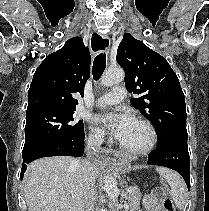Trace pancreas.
Segmentation results:
<instances>
[{
    "label": "pancreas",
    "instance_id": "cf45deb5",
    "mask_svg": "<svg viewBox=\"0 0 209 211\" xmlns=\"http://www.w3.org/2000/svg\"><path fill=\"white\" fill-rule=\"evenodd\" d=\"M130 211H138L140 208L141 192L137 186L132 187V190L126 197Z\"/></svg>",
    "mask_w": 209,
    "mask_h": 211
}]
</instances>
